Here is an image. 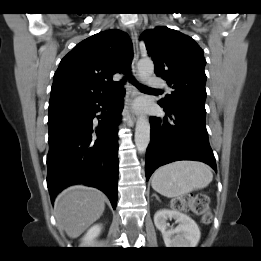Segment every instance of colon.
<instances>
[{
    "instance_id": "obj_1",
    "label": "colon",
    "mask_w": 261,
    "mask_h": 261,
    "mask_svg": "<svg viewBox=\"0 0 261 261\" xmlns=\"http://www.w3.org/2000/svg\"><path fill=\"white\" fill-rule=\"evenodd\" d=\"M170 205L177 210L190 209L193 213L202 217L204 223L211 221L209 211V198L206 194L184 195L173 198Z\"/></svg>"
}]
</instances>
